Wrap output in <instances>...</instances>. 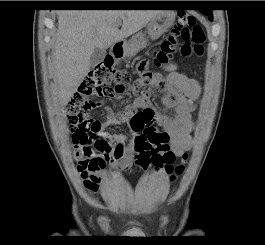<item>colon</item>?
Instances as JSON below:
<instances>
[{"label": "colon", "instance_id": "colon-1", "mask_svg": "<svg viewBox=\"0 0 265 245\" xmlns=\"http://www.w3.org/2000/svg\"><path fill=\"white\" fill-rule=\"evenodd\" d=\"M204 34L194 16L187 13L178 15L171 36L162 43L153 59L155 65L166 64L169 57L179 52L188 57L202 52ZM156 76L148 60L139 62L134 73L117 70L112 58L99 62L86 76L80 90L68 102L65 112L70 122L75 141L85 147L122 153L123 145L99 134L98 121L89 111L96 98H113L132 88L138 95H149ZM154 118L145 111L135 113L129 119L131 130L136 133L133 152L136 164L143 169L154 167L166 171L172 177L183 172L187 154L182 155V163L175 165V154L168 145L169 136L153 125Z\"/></svg>", "mask_w": 265, "mask_h": 245}]
</instances>
